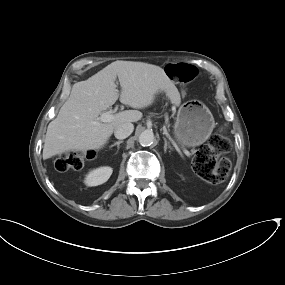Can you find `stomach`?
Listing matches in <instances>:
<instances>
[{"label":"stomach","mask_w":285,"mask_h":285,"mask_svg":"<svg viewBox=\"0 0 285 285\" xmlns=\"http://www.w3.org/2000/svg\"><path fill=\"white\" fill-rule=\"evenodd\" d=\"M213 128L214 118L203 103L191 100L180 106L174 124V135L182 146L201 145L210 137Z\"/></svg>","instance_id":"1"}]
</instances>
